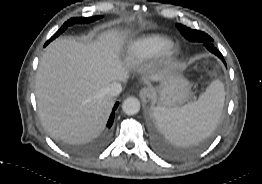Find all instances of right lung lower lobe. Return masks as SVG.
I'll return each instance as SVG.
<instances>
[{
  "label": "right lung lower lobe",
  "mask_w": 262,
  "mask_h": 184,
  "mask_svg": "<svg viewBox=\"0 0 262 184\" xmlns=\"http://www.w3.org/2000/svg\"><path fill=\"white\" fill-rule=\"evenodd\" d=\"M46 45V44H45ZM118 102L114 105V107H113V111H112V113H111V115H110V118H109V120H108V123H107V127L108 128H110L111 126H112V124H113V121H114V114H115V110H116V108H117V106H118Z\"/></svg>",
  "instance_id": "98d812e1"
}]
</instances>
